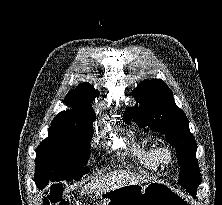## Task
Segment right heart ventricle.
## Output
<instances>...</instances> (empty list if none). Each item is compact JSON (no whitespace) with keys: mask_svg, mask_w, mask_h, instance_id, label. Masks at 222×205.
I'll use <instances>...</instances> for the list:
<instances>
[{"mask_svg":"<svg viewBox=\"0 0 222 205\" xmlns=\"http://www.w3.org/2000/svg\"><path fill=\"white\" fill-rule=\"evenodd\" d=\"M133 154L147 168L155 172L161 169L162 163L158 158L157 147L153 141L146 140L136 142L133 148Z\"/></svg>","mask_w":222,"mask_h":205,"instance_id":"right-heart-ventricle-1","label":"right heart ventricle"}]
</instances>
